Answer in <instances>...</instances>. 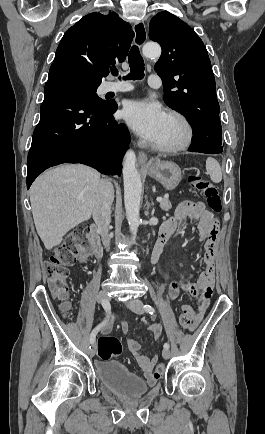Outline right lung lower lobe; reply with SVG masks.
Segmentation results:
<instances>
[{
	"label": "right lung lower lobe",
	"instance_id": "obj_1",
	"mask_svg": "<svg viewBox=\"0 0 265 434\" xmlns=\"http://www.w3.org/2000/svg\"><path fill=\"white\" fill-rule=\"evenodd\" d=\"M117 108L115 102L97 107L80 84L47 81L28 153L27 189L41 172L62 163H81L103 174L120 175L130 135L113 118Z\"/></svg>",
	"mask_w": 265,
	"mask_h": 434
}]
</instances>
